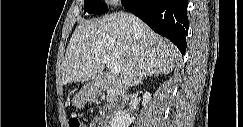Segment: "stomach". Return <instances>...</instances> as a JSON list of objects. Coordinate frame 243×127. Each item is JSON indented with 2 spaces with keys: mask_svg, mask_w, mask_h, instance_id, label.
<instances>
[{
  "mask_svg": "<svg viewBox=\"0 0 243 127\" xmlns=\"http://www.w3.org/2000/svg\"><path fill=\"white\" fill-rule=\"evenodd\" d=\"M96 93V87L93 84H87L77 94L74 95L72 102L77 108H82L86 101Z\"/></svg>",
  "mask_w": 243,
  "mask_h": 127,
  "instance_id": "0dacf381",
  "label": "stomach"
}]
</instances>
